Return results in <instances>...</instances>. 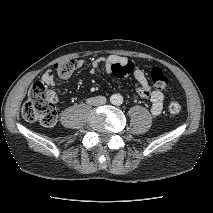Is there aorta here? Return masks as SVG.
<instances>
[{
	"label": "aorta",
	"instance_id": "1",
	"mask_svg": "<svg viewBox=\"0 0 213 213\" xmlns=\"http://www.w3.org/2000/svg\"><path fill=\"white\" fill-rule=\"evenodd\" d=\"M110 101L113 105H121L123 103V97L122 95L120 94H113L111 97H110Z\"/></svg>",
	"mask_w": 213,
	"mask_h": 213
}]
</instances>
